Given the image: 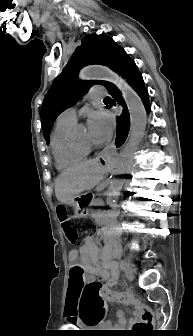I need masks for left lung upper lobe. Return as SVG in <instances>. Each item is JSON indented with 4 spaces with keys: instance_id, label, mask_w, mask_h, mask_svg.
<instances>
[{
    "instance_id": "1",
    "label": "left lung upper lobe",
    "mask_w": 193,
    "mask_h": 336,
    "mask_svg": "<svg viewBox=\"0 0 193 336\" xmlns=\"http://www.w3.org/2000/svg\"><path fill=\"white\" fill-rule=\"evenodd\" d=\"M123 49L110 37L101 34L86 35L81 46L77 47L63 72L51 85L41 108L44 138L49 143L50 130L56 117L66 108L75 104L91 85L101 84L107 87L105 81L77 80L78 71L89 64H101L115 70L119 53Z\"/></svg>"
}]
</instances>
